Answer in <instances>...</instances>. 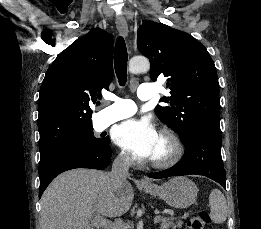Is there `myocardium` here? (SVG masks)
Segmentation results:
<instances>
[{"mask_svg":"<svg viewBox=\"0 0 261 229\" xmlns=\"http://www.w3.org/2000/svg\"><path fill=\"white\" fill-rule=\"evenodd\" d=\"M160 137L166 142L167 152L160 159H151L150 165L158 169L170 168L180 161L183 148L178 136L170 129L161 130Z\"/></svg>","mask_w":261,"mask_h":229,"instance_id":"f54148a6","label":"myocardium"}]
</instances>
